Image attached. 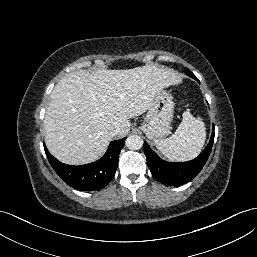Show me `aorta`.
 Here are the masks:
<instances>
[{
  "label": "aorta",
  "instance_id": "1",
  "mask_svg": "<svg viewBox=\"0 0 257 257\" xmlns=\"http://www.w3.org/2000/svg\"><path fill=\"white\" fill-rule=\"evenodd\" d=\"M125 144L130 150H138L143 146V140L138 135H130L127 137Z\"/></svg>",
  "mask_w": 257,
  "mask_h": 257
}]
</instances>
